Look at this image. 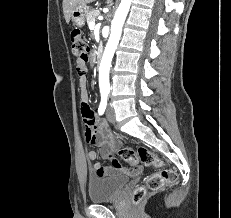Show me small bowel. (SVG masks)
Returning <instances> with one entry per match:
<instances>
[{"instance_id": "small-bowel-1", "label": "small bowel", "mask_w": 231, "mask_h": 218, "mask_svg": "<svg viewBox=\"0 0 231 218\" xmlns=\"http://www.w3.org/2000/svg\"><path fill=\"white\" fill-rule=\"evenodd\" d=\"M88 56H79L76 61V74L79 75V82L81 85V111L85 122V138L91 144L98 147L100 155L104 159H108L111 162V166H103L101 163L97 162V152L91 150L87 153V159L93 162L92 173L98 176H113V175H125V176H136L141 172V167L134 168H124L119 163L118 166L113 164L116 159L114 153L119 148V141L112 135L107 125L103 122H97L95 120V112L90 106L89 95L86 90V81L88 74V69H86V63L88 62Z\"/></svg>"}]
</instances>
